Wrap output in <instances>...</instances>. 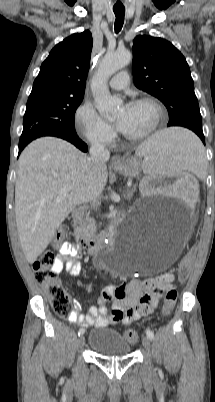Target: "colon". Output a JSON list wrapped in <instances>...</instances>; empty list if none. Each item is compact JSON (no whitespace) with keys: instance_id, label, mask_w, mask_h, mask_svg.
<instances>
[{"instance_id":"obj_1","label":"colon","mask_w":215,"mask_h":402,"mask_svg":"<svg viewBox=\"0 0 215 402\" xmlns=\"http://www.w3.org/2000/svg\"><path fill=\"white\" fill-rule=\"evenodd\" d=\"M64 235V230H58L53 239V245L59 244ZM195 248V244H192L191 248H188L186 258L183 260L179 270L181 278H185L187 276L189 260H198L199 258L198 251H192V249ZM54 264V252L52 250L44 251L33 264L34 275L38 283L41 284V286L46 290L54 312L59 316H65L70 310L69 298L57 278V273L53 270ZM176 299L177 291L173 288L168 289L165 294V312H168L173 307ZM146 309L150 310V307H146ZM123 336L131 343H134L138 340V334L134 329H126L123 332Z\"/></svg>"}]
</instances>
